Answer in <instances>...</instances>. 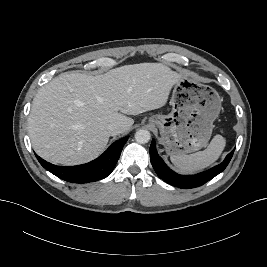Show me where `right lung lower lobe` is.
Wrapping results in <instances>:
<instances>
[{
	"mask_svg": "<svg viewBox=\"0 0 267 267\" xmlns=\"http://www.w3.org/2000/svg\"><path fill=\"white\" fill-rule=\"evenodd\" d=\"M127 137L113 143L99 158L87 164L61 167L36 155L40 164L55 176L73 183L94 182L107 177L114 169Z\"/></svg>",
	"mask_w": 267,
	"mask_h": 267,
	"instance_id": "obj_1",
	"label": "right lung lower lobe"
}]
</instances>
